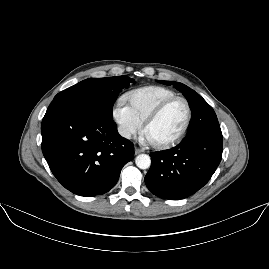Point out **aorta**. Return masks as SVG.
Instances as JSON below:
<instances>
[{
    "instance_id": "762f6f07",
    "label": "aorta",
    "mask_w": 269,
    "mask_h": 269,
    "mask_svg": "<svg viewBox=\"0 0 269 269\" xmlns=\"http://www.w3.org/2000/svg\"><path fill=\"white\" fill-rule=\"evenodd\" d=\"M135 163L139 169L146 170L151 166V158L147 154H140L136 157Z\"/></svg>"
}]
</instances>
